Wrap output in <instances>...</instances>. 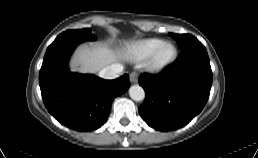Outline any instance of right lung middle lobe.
I'll return each mask as SVG.
<instances>
[{"label":"right lung middle lobe","mask_w":258,"mask_h":158,"mask_svg":"<svg viewBox=\"0 0 258 158\" xmlns=\"http://www.w3.org/2000/svg\"><path fill=\"white\" fill-rule=\"evenodd\" d=\"M94 35L91 34L90 29H81V30H68L61 33L54 41L62 40H77V41H90L94 40Z\"/></svg>","instance_id":"dd1d6c3e"}]
</instances>
